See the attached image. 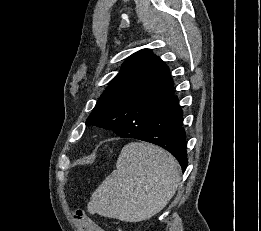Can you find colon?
Here are the masks:
<instances>
[{"mask_svg": "<svg viewBox=\"0 0 261 231\" xmlns=\"http://www.w3.org/2000/svg\"><path fill=\"white\" fill-rule=\"evenodd\" d=\"M71 219L76 224L78 231H84L91 225V221L83 209L74 210L72 212Z\"/></svg>", "mask_w": 261, "mask_h": 231, "instance_id": "1", "label": "colon"}]
</instances>
